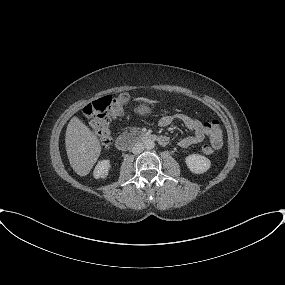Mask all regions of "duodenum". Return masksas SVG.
Instances as JSON below:
<instances>
[{
  "label": "duodenum",
  "mask_w": 285,
  "mask_h": 285,
  "mask_svg": "<svg viewBox=\"0 0 285 285\" xmlns=\"http://www.w3.org/2000/svg\"><path fill=\"white\" fill-rule=\"evenodd\" d=\"M147 141H157L160 145H166L167 143V139L163 136H157L150 133L130 132L122 134L116 139V147L117 149L123 151L136 144Z\"/></svg>",
  "instance_id": "duodenum-1"
}]
</instances>
